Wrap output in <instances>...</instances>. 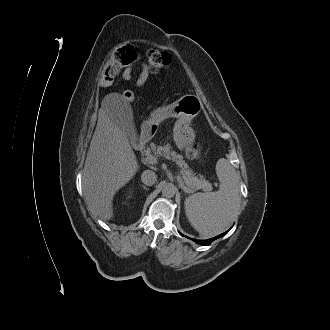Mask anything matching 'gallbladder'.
Returning <instances> with one entry per match:
<instances>
[{
    "mask_svg": "<svg viewBox=\"0 0 330 330\" xmlns=\"http://www.w3.org/2000/svg\"><path fill=\"white\" fill-rule=\"evenodd\" d=\"M114 110L119 120V125L125 130L127 136L130 137L133 135L135 133V126L131 106L126 102H121Z\"/></svg>",
    "mask_w": 330,
    "mask_h": 330,
    "instance_id": "1",
    "label": "gallbladder"
}]
</instances>
